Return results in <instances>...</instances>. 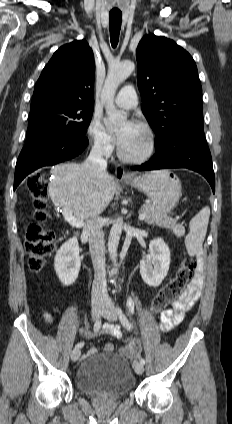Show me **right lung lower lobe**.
I'll use <instances>...</instances> for the list:
<instances>
[{
    "label": "right lung lower lobe",
    "mask_w": 232,
    "mask_h": 424,
    "mask_svg": "<svg viewBox=\"0 0 232 424\" xmlns=\"http://www.w3.org/2000/svg\"><path fill=\"white\" fill-rule=\"evenodd\" d=\"M86 137L36 133L27 138L15 168L14 189L31 172L78 156L87 146Z\"/></svg>",
    "instance_id": "98d812e1"
}]
</instances>
